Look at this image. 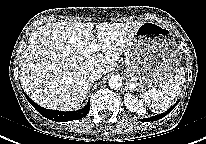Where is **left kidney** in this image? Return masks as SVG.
I'll return each instance as SVG.
<instances>
[{
    "label": "left kidney",
    "mask_w": 206,
    "mask_h": 144,
    "mask_svg": "<svg viewBox=\"0 0 206 144\" xmlns=\"http://www.w3.org/2000/svg\"><path fill=\"white\" fill-rule=\"evenodd\" d=\"M124 102L129 111L135 112L138 115H144L146 113V108L142 101L138 100L134 95L130 93L125 94Z\"/></svg>",
    "instance_id": "5707ae66"
}]
</instances>
